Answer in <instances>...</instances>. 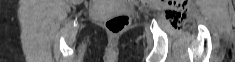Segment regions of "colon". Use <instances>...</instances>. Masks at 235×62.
Segmentation results:
<instances>
[{
  "label": "colon",
  "mask_w": 235,
  "mask_h": 62,
  "mask_svg": "<svg viewBox=\"0 0 235 62\" xmlns=\"http://www.w3.org/2000/svg\"><path fill=\"white\" fill-rule=\"evenodd\" d=\"M130 23V18L126 14H120L113 17L108 18L105 21V28L111 34H120L122 33Z\"/></svg>",
  "instance_id": "obj_1"
}]
</instances>
